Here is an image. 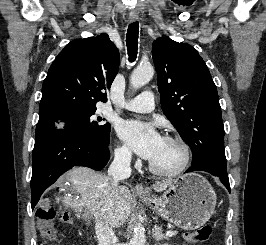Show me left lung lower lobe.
Here are the masks:
<instances>
[{"mask_svg": "<svg viewBox=\"0 0 266 245\" xmlns=\"http://www.w3.org/2000/svg\"><path fill=\"white\" fill-rule=\"evenodd\" d=\"M193 171H205V172L211 173L219 177L221 182L230 192V185H229L227 170H224L221 168H215L209 165H196V166H191L188 170H186L185 173L193 172Z\"/></svg>", "mask_w": 266, "mask_h": 245, "instance_id": "left-lung-lower-lobe-1", "label": "left lung lower lobe"}]
</instances>
